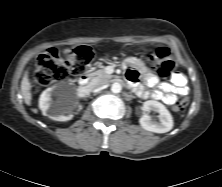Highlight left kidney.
Masks as SVG:
<instances>
[{
  "instance_id": "5707ae66",
  "label": "left kidney",
  "mask_w": 222,
  "mask_h": 187,
  "mask_svg": "<svg viewBox=\"0 0 222 187\" xmlns=\"http://www.w3.org/2000/svg\"><path fill=\"white\" fill-rule=\"evenodd\" d=\"M143 116L139 119L141 127L154 133H166L173 128V118L168 109L160 102L148 100L143 104ZM158 113V121H155L146 112Z\"/></svg>"
}]
</instances>
